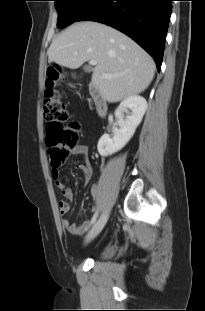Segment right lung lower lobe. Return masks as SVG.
Returning <instances> with one entry per match:
<instances>
[{
  "instance_id": "1",
  "label": "right lung lower lobe",
  "mask_w": 205,
  "mask_h": 311,
  "mask_svg": "<svg viewBox=\"0 0 205 311\" xmlns=\"http://www.w3.org/2000/svg\"><path fill=\"white\" fill-rule=\"evenodd\" d=\"M173 0H97L77 21H96L125 33L160 70Z\"/></svg>"
}]
</instances>
